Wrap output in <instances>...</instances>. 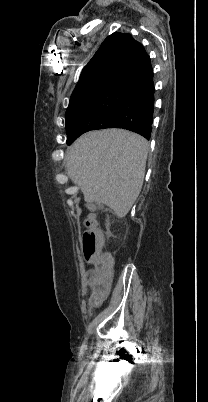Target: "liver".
Returning a JSON list of instances; mask_svg holds the SVG:
<instances>
[{
	"mask_svg": "<svg viewBox=\"0 0 208 402\" xmlns=\"http://www.w3.org/2000/svg\"><path fill=\"white\" fill-rule=\"evenodd\" d=\"M148 144L127 130L83 134L65 154L67 176L85 202L105 204L124 218L137 200L145 176Z\"/></svg>",
	"mask_w": 208,
	"mask_h": 402,
	"instance_id": "6515ba94",
	"label": "liver"
}]
</instances>
